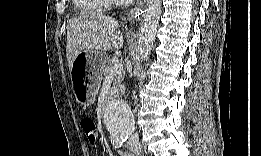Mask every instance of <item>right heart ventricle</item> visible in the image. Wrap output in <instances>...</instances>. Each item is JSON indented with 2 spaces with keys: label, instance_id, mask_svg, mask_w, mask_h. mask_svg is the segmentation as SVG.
<instances>
[{
  "label": "right heart ventricle",
  "instance_id": "obj_1",
  "mask_svg": "<svg viewBox=\"0 0 261 156\" xmlns=\"http://www.w3.org/2000/svg\"><path fill=\"white\" fill-rule=\"evenodd\" d=\"M75 3L85 11H96L103 4L102 1L98 0H77Z\"/></svg>",
  "mask_w": 261,
  "mask_h": 156
}]
</instances>
